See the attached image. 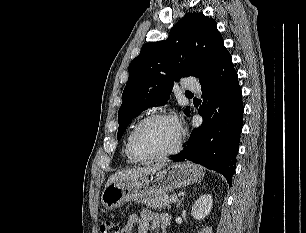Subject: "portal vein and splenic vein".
I'll return each instance as SVG.
<instances>
[{
  "mask_svg": "<svg viewBox=\"0 0 306 233\" xmlns=\"http://www.w3.org/2000/svg\"><path fill=\"white\" fill-rule=\"evenodd\" d=\"M179 201V199L177 198V197H175V198H173L172 200H171V202L173 203V202H178Z\"/></svg>",
  "mask_w": 306,
  "mask_h": 233,
  "instance_id": "obj_1",
  "label": "portal vein and splenic vein"
}]
</instances>
